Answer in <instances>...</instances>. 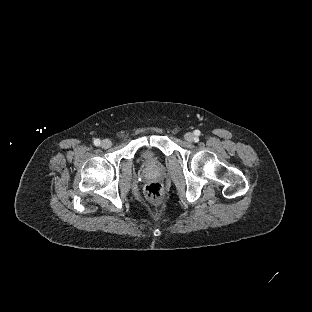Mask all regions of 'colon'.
I'll return each instance as SVG.
<instances>
[{"label": "colon", "mask_w": 312, "mask_h": 312, "mask_svg": "<svg viewBox=\"0 0 312 312\" xmlns=\"http://www.w3.org/2000/svg\"><path fill=\"white\" fill-rule=\"evenodd\" d=\"M144 195L152 202L161 203L164 200L165 192L160 184L151 183L145 187Z\"/></svg>", "instance_id": "5ec220e1"}]
</instances>
